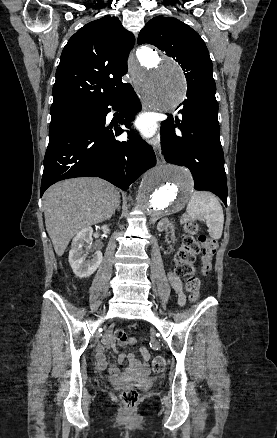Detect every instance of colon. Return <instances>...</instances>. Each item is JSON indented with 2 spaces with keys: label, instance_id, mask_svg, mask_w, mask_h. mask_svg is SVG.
<instances>
[{
  "label": "colon",
  "instance_id": "obj_1",
  "mask_svg": "<svg viewBox=\"0 0 277 438\" xmlns=\"http://www.w3.org/2000/svg\"><path fill=\"white\" fill-rule=\"evenodd\" d=\"M181 226L184 236L175 256L176 274L178 277L186 279V290L190 294V298L196 300L200 296L201 282L197 277L192 276L196 270L194 266L195 258L197 254L202 255L201 268L207 273L211 268L216 246L210 237L199 234L200 227L198 223L184 219ZM114 335L120 344L128 343L132 345L135 343L133 338L127 337L123 329H115ZM164 367L165 362L162 357L153 359L152 368L155 373H161ZM116 396L124 402V409H139L140 389H117Z\"/></svg>",
  "mask_w": 277,
  "mask_h": 438
}]
</instances>
